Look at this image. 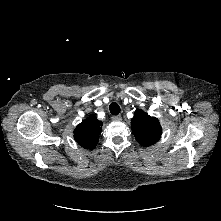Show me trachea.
I'll list each match as a JSON object with an SVG mask.
<instances>
[{
    "label": "trachea",
    "instance_id": "3493384b",
    "mask_svg": "<svg viewBox=\"0 0 221 221\" xmlns=\"http://www.w3.org/2000/svg\"><path fill=\"white\" fill-rule=\"evenodd\" d=\"M109 110L112 115H118L120 113V106L116 102H112L109 105Z\"/></svg>",
    "mask_w": 221,
    "mask_h": 221
}]
</instances>
